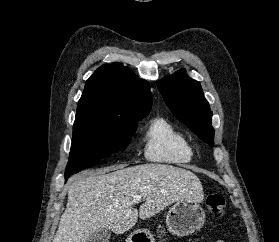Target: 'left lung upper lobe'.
Instances as JSON below:
<instances>
[{
  "mask_svg": "<svg viewBox=\"0 0 279 242\" xmlns=\"http://www.w3.org/2000/svg\"><path fill=\"white\" fill-rule=\"evenodd\" d=\"M157 86L173 115L201 140L213 146L212 112L200 83L189 78L182 69L163 78Z\"/></svg>",
  "mask_w": 279,
  "mask_h": 242,
  "instance_id": "5c2ea615",
  "label": "left lung upper lobe"
}]
</instances>
